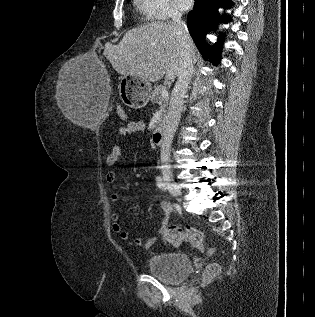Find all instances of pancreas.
<instances>
[{
	"instance_id": "1",
	"label": "pancreas",
	"mask_w": 315,
	"mask_h": 317,
	"mask_svg": "<svg viewBox=\"0 0 315 317\" xmlns=\"http://www.w3.org/2000/svg\"><path fill=\"white\" fill-rule=\"evenodd\" d=\"M163 90H167V88L165 86L162 85H158L154 87V90L152 92V101L153 102H159V101H163V113H166V110L164 109L167 105H168V99H163L162 97V91Z\"/></svg>"
}]
</instances>
